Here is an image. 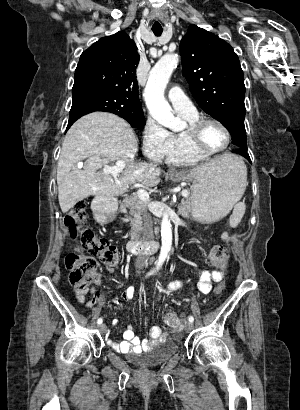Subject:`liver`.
Instances as JSON below:
<instances>
[{
	"instance_id": "6515ba94",
	"label": "liver",
	"mask_w": 300,
	"mask_h": 410,
	"mask_svg": "<svg viewBox=\"0 0 300 410\" xmlns=\"http://www.w3.org/2000/svg\"><path fill=\"white\" fill-rule=\"evenodd\" d=\"M138 140L122 118L103 112L81 117L67 132L57 167L58 200L63 213L88 196H118L137 182L154 187L160 182L161 170L154 164L135 163ZM83 170H71L85 160ZM234 156L223 154L199 167L231 162ZM122 161L125 167L114 177L97 172L110 168L108 163Z\"/></svg>"
}]
</instances>
